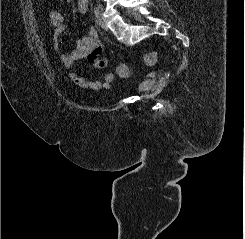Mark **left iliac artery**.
<instances>
[{"instance_id":"1","label":"left iliac artery","mask_w":245,"mask_h":239,"mask_svg":"<svg viewBox=\"0 0 245 239\" xmlns=\"http://www.w3.org/2000/svg\"><path fill=\"white\" fill-rule=\"evenodd\" d=\"M94 15L98 18L100 16V10L97 6L93 8Z\"/></svg>"}]
</instances>
